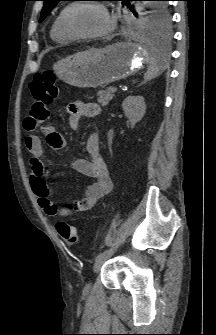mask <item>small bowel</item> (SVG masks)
I'll use <instances>...</instances> for the list:
<instances>
[{
    "label": "small bowel",
    "instance_id": "small-bowel-1",
    "mask_svg": "<svg viewBox=\"0 0 216 335\" xmlns=\"http://www.w3.org/2000/svg\"><path fill=\"white\" fill-rule=\"evenodd\" d=\"M43 103V100H39ZM71 129H78L83 118H92L100 113V107L94 102L74 101L68 106ZM52 109L45 104H32L29 119L26 120V129L34 134H45L49 145L55 150H63L66 142L47 120H51ZM29 134L25 138V146L31 157L30 183L40 208L50 217L67 216L89 210L99 199L105 196L112 188V180L107 165L100 154L99 138L94 132L90 133L86 141V153L89 159L78 158L72 162V167L78 173L91 177L94 182L90 184L80 200L72 202L68 207L61 208L54 204L50 198V190L44 179L47 160L40 138Z\"/></svg>",
    "mask_w": 216,
    "mask_h": 335
}]
</instances>
